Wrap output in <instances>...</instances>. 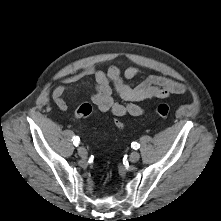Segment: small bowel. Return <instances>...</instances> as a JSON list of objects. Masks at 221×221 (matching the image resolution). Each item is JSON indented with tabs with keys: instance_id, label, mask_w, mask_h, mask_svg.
Here are the masks:
<instances>
[{
	"instance_id": "1",
	"label": "small bowel",
	"mask_w": 221,
	"mask_h": 221,
	"mask_svg": "<svg viewBox=\"0 0 221 221\" xmlns=\"http://www.w3.org/2000/svg\"><path fill=\"white\" fill-rule=\"evenodd\" d=\"M139 73L135 66L113 65L107 71L97 69L94 66L86 67L64 78L66 84L88 85L93 88L91 96L93 103L101 112H109L116 117L125 115L141 116L144 108L139 104L153 99H166L171 95L183 94L185 86L171 78L149 76L136 86L129 82L134 80ZM123 75V77H122ZM93 77L94 82L81 81L84 78ZM68 85H60L52 92V98L61 111L68 109L65 94L69 90ZM115 92L125 104L118 103L113 98Z\"/></svg>"
}]
</instances>
